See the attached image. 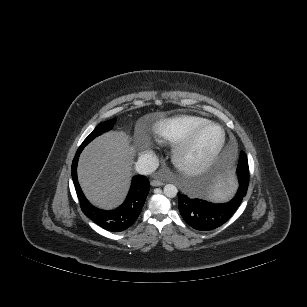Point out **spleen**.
I'll use <instances>...</instances> for the list:
<instances>
[{
  "instance_id": "1",
  "label": "spleen",
  "mask_w": 307,
  "mask_h": 307,
  "mask_svg": "<svg viewBox=\"0 0 307 307\" xmlns=\"http://www.w3.org/2000/svg\"><path fill=\"white\" fill-rule=\"evenodd\" d=\"M203 195L210 204L214 206H223L232 199L234 195V186L227 177L223 175H214L205 182L203 186Z\"/></svg>"
}]
</instances>
